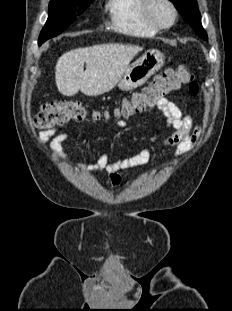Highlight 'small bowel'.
<instances>
[{
  "mask_svg": "<svg viewBox=\"0 0 232 311\" xmlns=\"http://www.w3.org/2000/svg\"><path fill=\"white\" fill-rule=\"evenodd\" d=\"M156 107L165 117L166 128L172 130V132L164 138L163 144L168 147H174L176 155L183 153L197 137V131L193 130L192 119L184 115L178 106L167 98L160 100L156 104ZM118 125L120 127H125L126 122L120 120ZM68 137V133L50 129L40 134V141L47 145L48 150L54 156L80 171L91 174L102 171L107 172L110 183L113 186H119L123 182L122 177L119 175V171L143 165L149 158V149L144 148L136 155H122L112 162L109 161V156L105 152L99 156L95 163L87 164L73 161L63 146V143Z\"/></svg>",
  "mask_w": 232,
  "mask_h": 311,
  "instance_id": "obj_1",
  "label": "small bowel"
}]
</instances>
